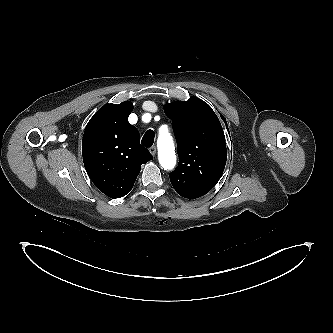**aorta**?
I'll return each mask as SVG.
<instances>
[{
    "instance_id": "obj_1",
    "label": "aorta",
    "mask_w": 333,
    "mask_h": 333,
    "mask_svg": "<svg viewBox=\"0 0 333 333\" xmlns=\"http://www.w3.org/2000/svg\"><path fill=\"white\" fill-rule=\"evenodd\" d=\"M172 137L161 131L158 137V157L164 169H172L176 164V155Z\"/></svg>"
}]
</instances>
